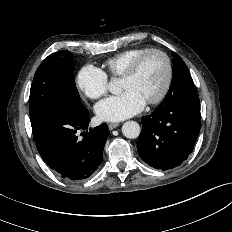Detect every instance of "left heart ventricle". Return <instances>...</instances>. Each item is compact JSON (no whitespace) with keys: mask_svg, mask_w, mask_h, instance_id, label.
Segmentation results:
<instances>
[{"mask_svg":"<svg viewBox=\"0 0 232 232\" xmlns=\"http://www.w3.org/2000/svg\"><path fill=\"white\" fill-rule=\"evenodd\" d=\"M166 78V65L162 56L152 54L141 64L137 73L128 79H121L122 91L130 90L145 102L156 97L162 90Z\"/></svg>","mask_w":232,"mask_h":232,"instance_id":"obj_1","label":"left heart ventricle"}]
</instances>
